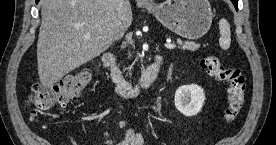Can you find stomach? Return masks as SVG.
I'll use <instances>...</instances> for the list:
<instances>
[{
	"label": "stomach",
	"mask_w": 276,
	"mask_h": 145,
	"mask_svg": "<svg viewBox=\"0 0 276 145\" xmlns=\"http://www.w3.org/2000/svg\"><path fill=\"white\" fill-rule=\"evenodd\" d=\"M147 9L169 30L192 40L204 36L213 19L208 0H166Z\"/></svg>",
	"instance_id": "obj_1"
}]
</instances>
